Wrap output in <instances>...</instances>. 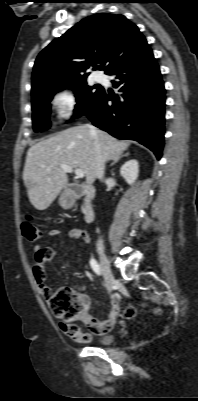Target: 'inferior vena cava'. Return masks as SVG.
Segmentation results:
<instances>
[{"label":"inferior vena cava","instance_id":"1","mask_svg":"<svg viewBox=\"0 0 198 401\" xmlns=\"http://www.w3.org/2000/svg\"><path fill=\"white\" fill-rule=\"evenodd\" d=\"M87 127L89 128L91 134L95 136L96 128L89 124H87ZM95 153H96V177L100 180H103L105 173V159L102 157L100 153V145L97 141H95ZM102 242H103L102 239L98 240L99 244H102Z\"/></svg>","mask_w":198,"mask_h":401}]
</instances>
